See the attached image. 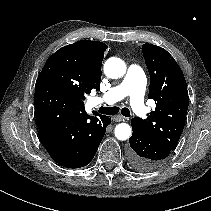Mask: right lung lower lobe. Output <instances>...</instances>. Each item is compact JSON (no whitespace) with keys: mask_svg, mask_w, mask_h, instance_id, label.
I'll use <instances>...</instances> for the list:
<instances>
[{"mask_svg":"<svg viewBox=\"0 0 211 211\" xmlns=\"http://www.w3.org/2000/svg\"><path fill=\"white\" fill-rule=\"evenodd\" d=\"M34 103L40 137L51 158L66 168L89 164L110 117L87 115L82 100L44 81H36Z\"/></svg>","mask_w":211,"mask_h":211,"instance_id":"obj_1","label":"right lung lower lobe"}]
</instances>
